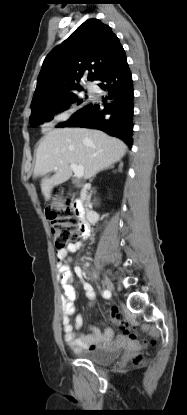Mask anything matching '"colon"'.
<instances>
[{"instance_id": "5ec220e1", "label": "colon", "mask_w": 187, "mask_h": 415, "mask_svg": "<svg viewBox=\"0 0 187 415\" xmlns=\"http://www.w3.org/2000/svg\"><path fill=\"white\" fill-rule=\"evenodd\" d=\"M55 202L48 208L47 215L51 223L54 235V244L57 250H64L70 245L75 244L80 237V222L74 216L68 203L63 200L62 191L59 188L54 190ZM110 317L118 329L135 338L136 334L126 322L123 315L116 309L110 311ZM156 340L150 339L149 344L155 345ZM140 361V357L134 359L135 363Z\"/></svg>"}]
</instances>
